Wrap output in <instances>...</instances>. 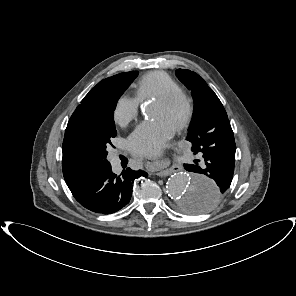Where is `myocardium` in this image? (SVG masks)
Instances as JSON below:
<instances>
[{"label": "myocardium", "instance_id": "myocardium-1", "mask_svg": "<svg viewBox=\"0 0 296 296\" xmlns=\"http://www.w3.org/2000/svg\"><path fill=\"white\" fill-rule=\"evenodd\" d=\"M154 102H157L162 105H175L180 104L183 107V113L174 127V131L179 132L186 128L190 123L193 113H194V102L192 97L185 91L179 89L165 93L158 96L154 99Z\"/></svg>", "mask_w": 296, "mask_h": 296}]
</instances>
